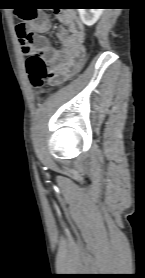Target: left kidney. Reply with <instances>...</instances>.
Returning a JSON list of instances; mask_svg holds the SVG:
<instances>
[{
    "label": "left kidney",
    "instance_id": "5707ae66",
    "mask_svg": "<svg viewBox=\"0 0 145 278\" xmlns=\"http://www.w3.org/2000/svg\"><path fill=\"white\" fill-rule=\"evenodd\" d=\"M82 22L87 26L94 25L101 16L103 9H78Z\"/></svg>",
    "mask_w": 145,
    "mask_h": 278
}]
</instances>
